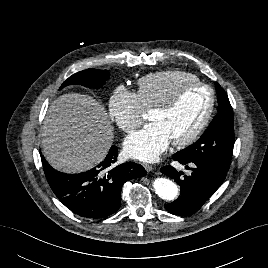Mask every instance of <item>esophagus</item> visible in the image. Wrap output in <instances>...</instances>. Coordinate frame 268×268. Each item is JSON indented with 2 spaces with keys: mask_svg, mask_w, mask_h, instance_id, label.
<instances>
[{
  "mask_svg": "<svg viewBox=\"0 0 268 268\" xmlns=\"http://www.w3.org/2000/svg\"><path fill=\"white\" fill-rule=\"evenodd\" d=\"M144 168L147 172H151L154 170V167L150 164H144Z\"/></svg>",
  "mask_w": 268,
  "mask_h": 268,
  "instance_id": "obj_1",
  "label": "esophagus"
}]
</instances>
